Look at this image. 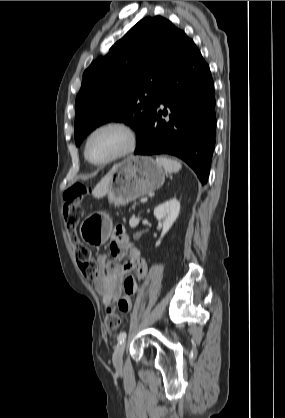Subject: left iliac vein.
Instances as JSON below:
<instances>
[{"instance_id": "obj_1", "label": "left iliac vein", "mask_w": 285, "mask_h": 418, "mask_svg": "<svg viewBox=\"0 0 285 418\" xmlns=\"http://www.w3.org/2000/svg\"><path fill=\"white\" fill-rule=\"evenodd\" d=\"M126 347V342H121L115 349L113 354V364L116 370H121L123 365V353Z\"/></svg>"}]
</instances>
